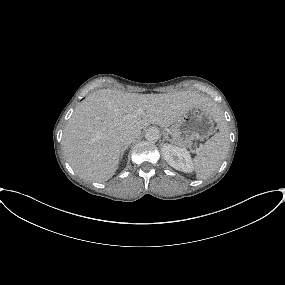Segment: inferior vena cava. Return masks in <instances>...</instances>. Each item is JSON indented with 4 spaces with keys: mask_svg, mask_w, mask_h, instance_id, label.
Listing matches in <instances>:
<instances>
[{
    "mask_svg": "<svg viewBox=\"0 0 285 285\" xmlns=\"http://www.w3.org/2000/svg\"><path fill=\"white\" fill-rule=\"evenodd\" d=\"M140 134L138 133H126L121 137V143L123 146L130 145L135 139L139 137Z\"/></svg>",
    "mask_w": 285,
    "mask_h": 285,
    "instance_id": "1",
    "label": "inferior vena cava"
}]
</instances>
